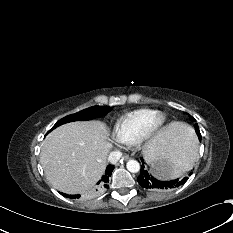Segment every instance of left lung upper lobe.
<instances>
[{
    "mask_svg": "<svg viewBox=\"0 0 233 233\" xmlns=\"http://www.w3.org/2000/svg\"><path fill=\"white\" fill-rule=\"evenodd\" d=\"M195 129H196V133H197L198 137L201 138V134H200V131H199L197 124L195 125Z\"/></svg>",
    "mask_w": 233,
    "mask_h": 233,
    "instance_id": "5c2ea615",
    "label": "left lung upper lobe"
}]
</instances>
